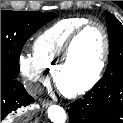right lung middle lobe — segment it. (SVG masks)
<instances>
[{
	"label": "right lung middle lobe",
	"mask_w": 123,
	"mask_h": 123,
	"mask_svg": "<svg viewBox=\"0 0 123 123\" xmlns=\"http://www.w3.org/2000/svg\"><path fill=\"white\" fill-rule=\"evenodd\" d=\"M56 16L54 13L1 11V78H17L19 57L24 44L32 34Z\"/></svg>",
	"instance_id": "1"
}]
</instances>
